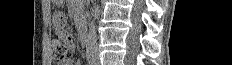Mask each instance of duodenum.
<instances>
[{
	"label": "duodenum",
	"mask_w": 232,
	"mask_h": 65,
	"mask_svg": "<svg viewBox=\"0 0 232 65\" xmlns=\"http://www.w3.org/2000/svg\"><path fill=\"white\" fill-rule=\"evenodd\" d=\"M80 42L82 45L87 44V31L85 28H83L80 32Z\"/></svg>",
	"instance_id": "1"
}]
</instances>
